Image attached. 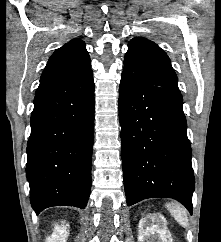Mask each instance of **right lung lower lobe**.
Segmentation results:
<instances>
[{
	"label": "right lung lower lobe",
	"instance_id": "right-lung-lower-lobe-1",
	"mask_svg": "<svg viewBox=\"0 0 221 242\" xmlns=\"http://www.w3.org/2000/svg\"><path fill=\"white\" fill-rule=\"evenodd\" d=\"M30 123L26 175L33 209L38 214L51 206L85 208L91 189L92 70L70 84L36 93Z\"/></svg>",
	"mask_w": 221,
	"mask_h": 242
}]
</instances>
